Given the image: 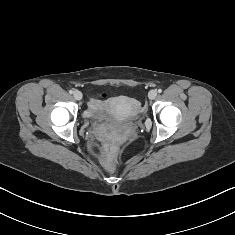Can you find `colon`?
I'll use <instances>...</instances> for the list:
<instances>
[{"mask_svg":"<svg viewBox=\"0 0 235 235\" xmlns=\"http://www.w3.org/2000/svg\"><path fill=\"white\" fill-rule=\"evenodd\" d=\"M106 164L111 168H114L116 166V161L110 152L106 153Z\"/></svg>","mask_w":235,"mask_h":235,"instance_id":"1","label":"colon"}]
</instances>
